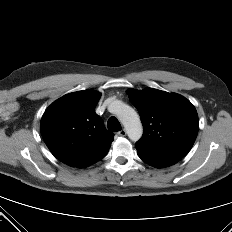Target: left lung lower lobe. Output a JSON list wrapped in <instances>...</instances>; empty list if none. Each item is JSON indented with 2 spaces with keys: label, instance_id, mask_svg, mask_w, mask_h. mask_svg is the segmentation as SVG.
Listing matches in <instances>:
<instances>
[{
  "label": "left lung lower lobe",
  "instance_id": "1",
  "mask_svg": "<svg viewBox=\"0 0 232 232\" xmlns=\"http://www.w3.org/2000/svg\"><path fill=\"white\" fill-rule=\"evenodd\" d=\"M139 157L147 164L156 167V168H164L171 166L177 163L182 157H166V158H153L139 155Z\"/></svg>",
  "mask_w": 232,
  "mask_h": 232
}]
</instances>
